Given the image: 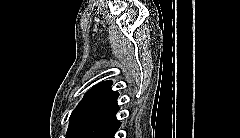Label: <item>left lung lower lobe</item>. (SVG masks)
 Here are the masks:
<instances>
[{"mask_svg": "<svg viewBox=\"0 0 240 138\" xmlns=\"http://www.w3.org/2000/svg\"><path fill=\"white\" fill-rule=\"evenodd\" d=\"M116 93L90 120L78 138H114L121 123L116 119L119 110Z\"/></svg>", "mask_w": 240, "mask_h": 138, "instance_id": "left-lung-lower-lobe-1", "label": "left lung lower lobe"}]
</instances>
